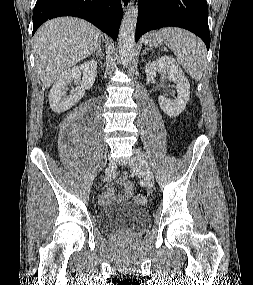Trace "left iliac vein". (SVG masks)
I'll list each match as a JSON object with an SVG mask.
<instances>
[{"mask_svg": "<svg viewBox=\"0 0 253 285\" xmlns=\"http://www.w3.org/2000/svg\"><path fill=\"white\" fill-rule=\"evenodd\" d=\"M130 168L137 174H139L149 187L154 185L153 173L146 161V158L139 149H134V154L129 161Z\"/></svg>", "mask_w": 253, "mask_h": 285, "instance_id": "1", "label": "left iliac vein"}]
</instances>
